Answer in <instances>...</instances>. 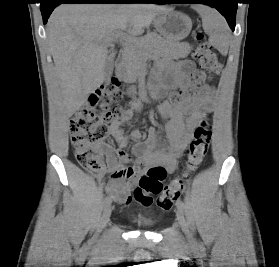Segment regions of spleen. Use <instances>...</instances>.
<instances>
[{
    "instance_id": "1",
    "label": "spleen",
    "mask_w": 279,
    "mask_h": 267,
    "mask_svg": "<svg viewBox=\"0 0 279 267\" xmlns=\"http://www.w3.org/2000/svg\"><path fill=\"white\" fill-rule=\"evenodd\" d=\"M193 8L202 19L203 29L209 36V42L222 54H226L230 33L224 18L218 11L205 5H195Z\"/></svg>"
}]
</instances>
